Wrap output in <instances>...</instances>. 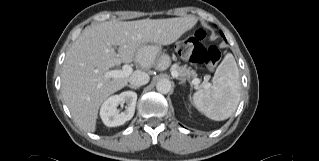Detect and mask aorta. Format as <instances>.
<instances>
[{
  "label": "aorta",
  "mask_w": 319,
  "mask_h": 161,
  "mask_svg": "<svg viewBox=\"0 0 319 161\" xmlns=\"http://www.w3.org/2000/svg\"><path fill=\"white\" fill-rule=\"evenodd\" d=\"M156 89L159 93L167 94L171 90V82L168 79H161L157 82Z\"/></svg>",
  "instance_id": "obj_1"
}]
</instances>
